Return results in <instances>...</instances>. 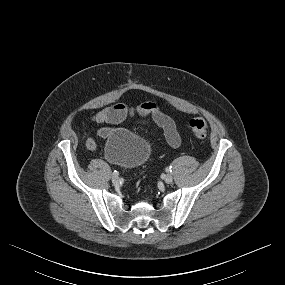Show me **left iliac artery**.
Masks as SVG:
<instances>
[{
	"label": "left iliac artery",
	"mask_w": 285,
	"mask_h": 285,
	"mask_svg": "<svg viewBox=\"0 0 285 285\" xmlns=\"http://www.w3.org/2000/svg\"><path fill=\"white\" fill-rule=\"evenodd\" d=\"M166 172H172V167L171 166L167 167Z\"/></svg>",
	"instance_id": "44dca946"
}]
</instances>
